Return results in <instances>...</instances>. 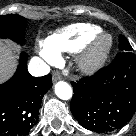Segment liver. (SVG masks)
Segmentation results:
<instances>
[{"instance_id": "6515ba94", "label": "liver", "mask_w": 136, "mask_h": 136, "mask_svg": "<svg viewBox=\"0 0 136 136\" xmlns=\"http://www.w3.org/2000/svg\"><path fill=\"white\" fill-rule=\"evenodd\" d=\"M16 48L10 42L0 41V83L7 80L17 65Z\"/></svg>"}]
</instances>
